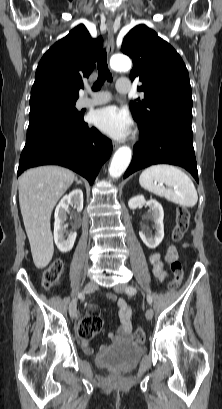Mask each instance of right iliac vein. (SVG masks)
<instances>
[{
  "label": "right iliac vein",
  "mask_w": 222,
  "mask_h": 409,
  "mask_svg": "<svg viewBox=\"0 0 222 409\" xmlns=\"http://www.w3.org/2000/svg\"><path fill=\"white\" fill-rule=\"evenodd\" d=\"M98 284L95 281H90L88 282L84 289H83V293H90L93 292L97 289ZM69 314L72 318H77L78 314H77V299H73L69 305Z\"/></svg>",
  "instance_id": "right-iliac-vein-1"
}]
</instances>
